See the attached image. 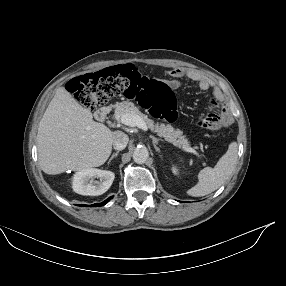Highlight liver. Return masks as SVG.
<instances>
[{
    "label": "liver",
    "mask_w": 286,
    "mask_h": 286,
    "mask_svg": "<svg viewBox=\"0 0 286 286\" xmlns=\"http://www.w3.org/2000/svg\"><path fill=\"white\" fill-rule=\"evenodd\" d=\"M115 132L93 121L90 110L60 87L39 123V165L49 175L101 166L111 154Z\"/></svg>",
    "instance_id": "liver-1"
}]
</instances>
